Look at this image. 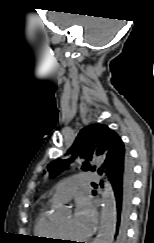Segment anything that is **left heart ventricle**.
<instances>
[{"instance_id": "obj_1", "label": "left heart ventricle", "mask_w": 154, "mask_h": 243, "mask_svg": "<svg viewBox=\"0 0 154 243\" xmlns=\"http://www.w3.org/2000/svg\"><path fill=\"white\" fill-rule=\"evenodd\" d=\"M57 225L60 227L62 232L69 238L78 240L84 237L73 225L71 216H67L64 219L60 220L59 222H57Z\"/></svg>"}]
</instances>
